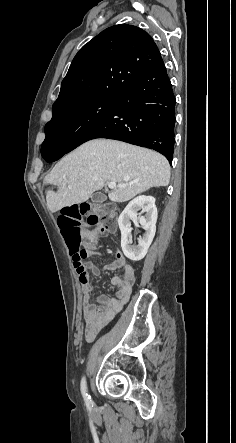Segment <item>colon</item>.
<instances>
[{
	"instance_id": "colon-1",
	"label": "colon",
	"mask_w": 236,
	"mask_h": 443,
	"mask_svg": "<svg viewBox=\"0 0 236 443\" xmlns=\"http://www.w3.org/2000/svg\"><path fill=\"white\" fill-rule=\"evenodd\" d=\"M87 224L96 227L97 232H111L116 226V211L107 204L83 202L79 205H67L59 211L57 223L66 241L73 266L81 268L84 261L91 255L90 248L84 247L90 235L81 227L82 218Z\"/></svg>"
}]
</instances>
